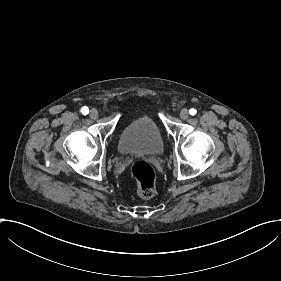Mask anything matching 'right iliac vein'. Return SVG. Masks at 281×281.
<instances>
[{
    "label": "right iliac vein",
    "instance_id": "63e3f726",
    "mask_svg": "<svg viewBox=\"0 0 281 281\" xmlns=\"http://www.w3.org/2000/svg\"><path fill=\"white\" fill-rule=\"evenodd\" d=\"M98 113H99L98 110L94 108L90 111L89 116H90V118L95 119V118H97Z\"/></svg>",
    "mask_w": 281,
    "mask_h": 281
}]
</instances>
